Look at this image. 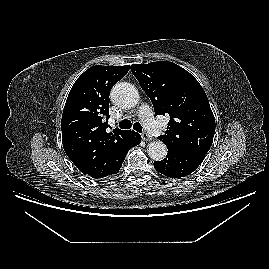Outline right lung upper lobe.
Wrapping results in <instances>:
<instances>
[{
    "instance_id": "1",
    "label": "right lung upper lobe",
    "mask_w": 269,
    "mask_h": 269,
    "mask_svg": "<svg viewBox=\"0 0 269 269\" xmlns=\"http://www.w3.org/2000/svg\"><path fill=\"white\" fill-rule=\"evenodd\" d=\"M130 66L97 65L76 80L62 114V143L75 166L92 178L115 174L127 131L108 133L109 94ZM107 116L106 121L103 117Z\"/></svg>"
}]
</instances>
